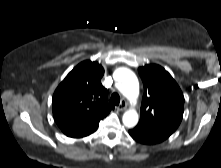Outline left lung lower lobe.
Segmentation results:
<instances>
[{
	"instance_id": "1",
	"label": "left lung lower lobe",
	"mask_w": 221,
	"mask_h": 168,
	"mask_svg": "<svg viewBox=\"0 0 221 168\" xmlns=\"http://www.w3.org/2000/svg\"><path fill=\"white\" fill-rule=\"evenodd\" d=\"M129 134L134 140L143 144H156L165 140L164 138L158 135L141 131V130H137L135 128L129 130Z\"/></svg>"
}]
</instances>
